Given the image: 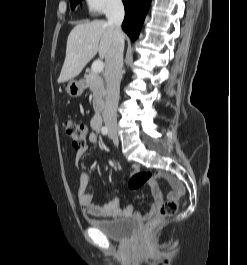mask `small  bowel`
<instances>
[{
    "instance_id": "c3829d8e",
    "label": "small bowel",
    "mask_w": 247,
    "mask_h": 265,
    "mask_svg": "<svg viewBox=\"0 0 247 265\" xmlns=\"http://www.w3.org/2000/svg\"><path fill=\"white\" fill-rule=\"evenodd\" d=\"M89 141L91 143H96L98 137L95 133H90ZM86 147L80 148L76 152L77 161L85 153ZM139 171V166H133V172L137 173ZM89 182V175L83 172L80 176L79 187L76 192L77 202L83 213L91 215L94 217H104V218H118V217H135L137 220L149 219L156 215L161 203L163 202V194L159 186L151 188L153 203L148 209L147 213L144 216H141L139 213H135L133 207L128 205L121 207L119 200L114 199L111 202L104 205H96L93 203V194L86 191L87 184ZM173 191H170L167 195L168 199H176L178 196L184 193L183 186L176 180L171 182Z\"/></svg>"
}]
</instances>
